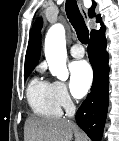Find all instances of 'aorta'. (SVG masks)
Here are the masks:
<instances>
[{"label": "aorta", "mask_w": 119, "mask_h": 141, "mask_svg": "<svg viewBox=\"0 0 119 141\" xmlns=\"http://www.w3.org/2000/svg\"><path fill=\"white\" fill-rule=\"evenodd\" d=\"M45 56L51 74L65 81L69 73L66 66L65 29L62 24H55L48 30L45 38Z\"/></svg>", "instance_id": "1"}]
</instances>
